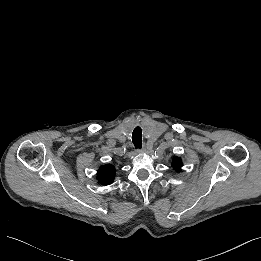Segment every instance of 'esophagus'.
I'll return each mask as SVG.
<instances>
[{"label": "esophagus", "instance_id": "esophagus-1", "mask_svg": "<svg viewBox=\"0 0 261 261\" xmlns=\"http://www.w3.org/2000/svg\"><path fill=\"white\" fill-rule=\"evenodd\" d=\"M140 152H141V153H145V152H146V148H145V147L141 148V149H140Z\"/></svg>", "mask_w": 261, "mask_h": 261}]
</instances>
